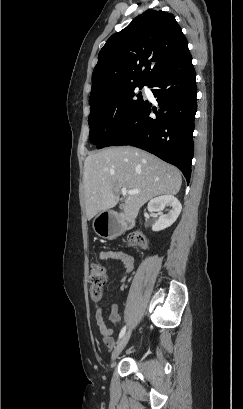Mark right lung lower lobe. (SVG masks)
<instances>
[{"label":"right lung lower lobe","instance_id":"1","mask_svg":"<svg viewBox=\"0 0 243 409\" xmlns=\"http://www.w3.org/2000/svg\"><path fill=\"white\" fill-rule=\"evenodd\" d=\"M195 77L187 46L148 85L157 98L158 111L144 101L108 146L131 145L146 150L178 167L189 183L194 153Z\"/></svg>","mask_w":243,"mask_h":409}]
</instances>
